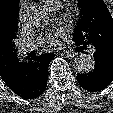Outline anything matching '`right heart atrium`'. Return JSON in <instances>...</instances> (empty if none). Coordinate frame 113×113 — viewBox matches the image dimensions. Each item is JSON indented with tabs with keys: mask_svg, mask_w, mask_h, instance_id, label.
Here are the masks:
<instances>
[{
	"mask_svg": "<svg viewBox=\"0 0 113 113\" xmlns=\"http://www.w3.org/2000/svg\"><path fill=\"white\" fill-rule=\"evenodd\" d=\"M25 9H26V3L23 2V3L21 4V6H20V9H19V18H20V19L23 18Z\"/></svg>",
	"mask_w": 113,
	"mask_h": 113,
	"instance_id": "right-heart-atrium-1",
	"label": "right heart atrium"
}]
</instances>
